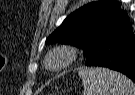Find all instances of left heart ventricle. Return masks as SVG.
Instances as JSON below:
<instances>
[{
    "label": "left heart ventricle",
    "instance_id": "1",
    "mask_svg": "<svg viewBox=\"0 0 135 95\" xmlns=\"http://www.w3.org/2000/svg\"><path fill=\"white\" fill-rule=\"evenodd\" d=\"M62 62H63V57L57 55L50 60L49 64H50V66H57V65L61 64Z\"/></svg>",
    "mask_w": 135,
    "mask_h": 95
}]
</instances>
